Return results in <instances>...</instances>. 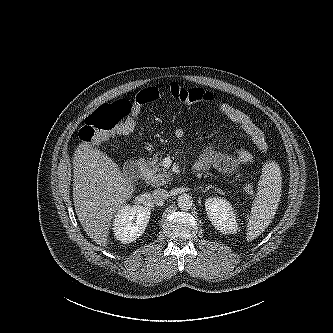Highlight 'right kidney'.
<instances>
[{"label": "right kidney", "mask_w": 333, "mask_h": 333, "mask_svg": "<svg viewBox=\"0 0 333 333\" xmlns=\"http://www.w3.org/2000/svg\"><path fill=\"white\" fill-rule=\"evenodd\" d=\"M150 209L139 205H124L113 220L114 236L121 243H131L145 231Z\"/></svg>", "instance_id": "obj_1"}]
</instances>
